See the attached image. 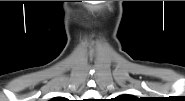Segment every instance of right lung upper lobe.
<instances>
[{"label":"right lung upper lobe","instance_id":"obj_1","mask_svg":"<svg viewBox=\"0 0 185 101\" xmlns=\"http://www.w3.org/2000/svg\"><path fill=\"white\" fill-rule=\"evenodd\" d=\"M61 98H57L55 101H59Z\"/></svg>","mask_w":185,"mask_h":101}]
</instances>
